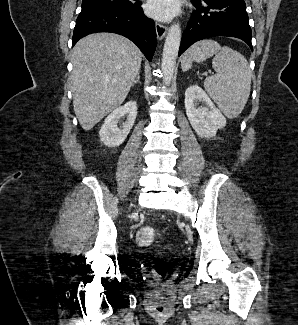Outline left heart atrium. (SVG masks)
<instances>
[{
    "mask_svg": "<svg viewBox=\"0 0 298 325\" xmlns=\"http://www.w3.org/2000/svg\"><path fill=\"white\" fill-rule=\"evenodd\" d=\"M147 12L150 16L159 20H169L178 12L176 0H151L147 4Z\"/></svg>",
    "mask_w": 298,
    "mask_h": 325,
    "instance_id": "left-heart-atrium-1",
    "label": "left heart atrium"
}]
</instances>
